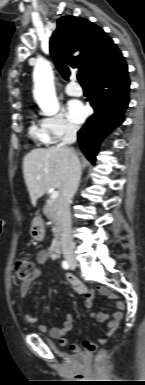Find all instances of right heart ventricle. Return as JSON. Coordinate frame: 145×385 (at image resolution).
Here are the masks:
<instances>
[{
  "mask_svg": "<svg viewBox=\"0 0 145 385\" xmlns=\"http://www.w3.org/2000/svg\"><path fill=\"white\" fill-rule=\"evenodd\" d=\"M30 136L42 143L46 142V136L41 126L37 125L35 122H32L29 127Z\"/></svg>",
  "mask_w": 145,
  "mask_h": 385,
  "instance_id": "right-heart-ventricle-1",
  "label": "right heart ventricle"
}]
</instances>
